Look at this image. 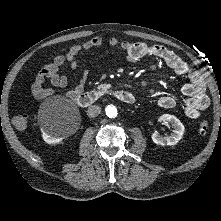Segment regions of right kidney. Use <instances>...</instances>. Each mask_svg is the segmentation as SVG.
<instances>
[{
  "label": "right kidney",
  "mask_w": 221,
  "mask_h": 221,
  "mask_svg": "<svg viewBox=\"0 0 221 221\" xmlns=\"http://www.w3.org/2000/svg\"><path fill=\"white\" fill-rule=\"evenodd\" d=\"M42 137L44 141L48 144L60 143L63 140V137L53 132L51 129L47 128L42 131Z\"/></svg>",
  "instance_id": "right-kidney-1"
}]
</instances>
